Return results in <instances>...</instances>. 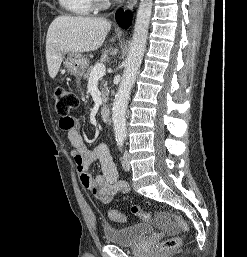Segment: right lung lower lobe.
<instances>
[{
    "label": "right lung lower lobe",
    "instance_id": "98d812e1",
    "mask_svg": "<svg viewBox=\"0 0 247 257\" xmlns=\"http://www.w3.org/2000/svg\"><path fill=\"white\" fill-rule=\"evenodd\" d=\"M115 17L117 23L123 28H126L128 23H130L131 21L129 15L127 13H124L123 10H118Z\"/></svg>",
    "mask_w": 247,
    "mask_h": 257
}]
</instances>
